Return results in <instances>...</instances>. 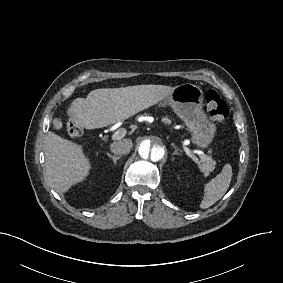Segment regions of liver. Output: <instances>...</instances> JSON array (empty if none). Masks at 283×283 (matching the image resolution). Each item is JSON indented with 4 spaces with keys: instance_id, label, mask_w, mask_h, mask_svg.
Returning a JSON list of instances; mask_svg holds the SVG:
<instances>
[{
    "instance_id": "obj_1",
    "label": "liver",
    "mask_w": 283,
    "mask_h": 283,
    "mask_svg": "<svg viewBox=\"0 0 283 283\" xmlns=\"http://www.w3.org/2000/svg\"><path fill=\"white\" fill-rule=\"evenodd\" d=\"M172 87L137 85L102 88L87 97L76 98L68 108L77 127L88 130L123 121L164 100ZM45 175L50 185L60 193L84 180L91 169L82 146L48 132L45 140Z\"/></svg>"
}]
</instances>
